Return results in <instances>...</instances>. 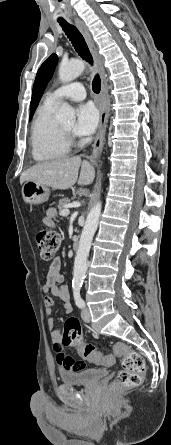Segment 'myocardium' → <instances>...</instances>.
I'll use <instances>...</instances> for the list:
<instances>
[{
	"mask_svg": "<svg viewBox=\"0 0 171 445\" xmlns=\"http://www.w3.org/2000/svg\"><path fill=\"white\" fill-rule=\"evenodd\" d=\"M59 130L69 147L76 143V139L72 132L65 130L62 126H59Z\"/></svg>",
	"mask_w": 171,
	"mask_h": 445,
	"instance_id": "obj_1",
	"label": "myocardium"
}]
</instances>
